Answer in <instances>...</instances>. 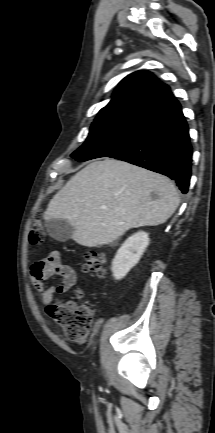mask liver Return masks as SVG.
Here are the masks:
<instances>
[{"label":"liver","mask_w":215,"mask_h":433,"mask_svg":"<svg viewBox=\"0 0 215 433\" xmlns=\"http://www.w3.org/2000/svg\"><path fill=\"white\" fill-rule=\"evenodd\" d=\"M179 205L166 176L115 159L95 161L51 199L44 219L66 220L86 247L109 244L127 230L165 223Z\"/></svg>","instance_id":"6515ba94"}]
</instances>
